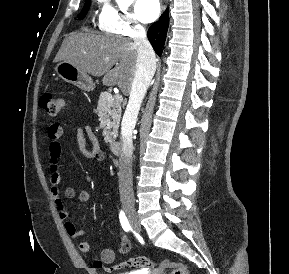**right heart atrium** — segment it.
<instances>
[{"instance_id":"obj_1","label":"right heart atrium","mask_w":289,"mask_h":274,"mask_svg":"<svg viewBox=\"0 0 289 274\" xmlns=\"http://www.w3.org/2000/svg\"><path fill=\"white\" fill-rule=\"evenodd\" d=\"M103 6L99 16V27L108 33L134 37L143 31L142 24L134 14L122 11L109 0H102Z\"/></svg>"}]
</instances>
